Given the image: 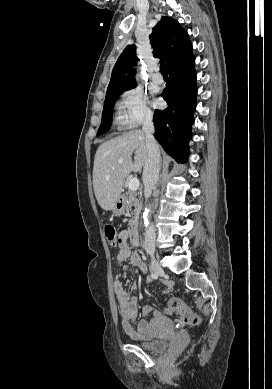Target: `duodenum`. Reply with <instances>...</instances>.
I'll return each instance as SVG.
<instances>
[{"label": "duodenum", "instance_id": "410a0bca", "mask_svg": "<svg viewBox=\"0 0 272 389\" xmlns=\"http://www.w3.org/2000/svg\"><path fill=\"white\" fill-rule=\"evenodd\" d=\"M129 238H130L131 243L134 246H136V247L141 246V238H140V234H139L137 227H133L132 229H130Z\"/></svg>", "mask_w": 272, "mask_h": 389}]
</instances>
